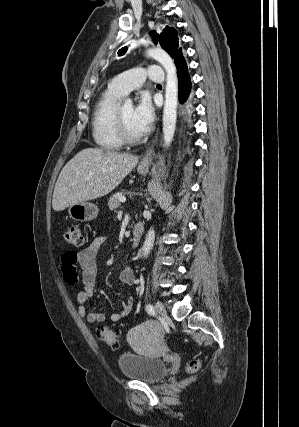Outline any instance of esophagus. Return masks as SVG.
I'll use <instances>...</instances> for the list:
<instances>
[{
	"label": "esophagus",
	"instance_id": "obj_1",
	"mask_svg": "<svg viewBox=\"0 0 299 427\" xmlns=\"http://www.w3.org/2000/svg\"><path fill=\"white\" fill-rule=\"evenodd\" d=\"M153 152H154L153 147L148 148V150L146 151V153H145V155L141 161L142 166H148L150 164Z\"/></svg>",
	"mask_w": 299,
	"mask_h": 427
}]
</instances>
